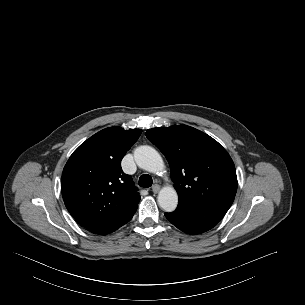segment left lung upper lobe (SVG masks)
I'll return each instance as SVG.
<instances>
[{"mask_svg": "<svg viewBox=\"0 0 305 305\" xmlns=\"http://www.w3.org/2000/svg\"><path fill=\"white\" fill-rule=\"evenodd\" d=\"M146 136L169 162L178 207L230 208L238 185L235 166L216 140L187 125L152 128Z\"/></svg>", "mask_w": 305, "mask_h": 305, "instance_id": "obj_1", "label": "left lung upper lobe"}]
</instances>
